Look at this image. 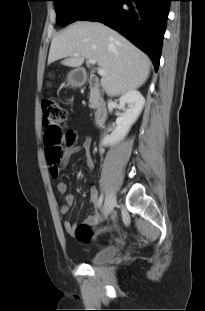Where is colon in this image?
<instances>
[{"mask_svg":"<svg viewBox=\"0 0 205 311\" xmlns=\"http://www.w3.org/2000/svg\"><path fill=\"white\" fill-rule=\"evenodd\" d=\"M66 120V110L59 102L54 99L42 101L45 155L50 168L57 169L65 156L64 147H72L76 143L77 133L72 129L65 128ZM95 233L94 228L87 223L78 225L73 231L74 237L84 243L90 242Z\"/></svg>","mask_w":205,"mask_h":311,"instance_id":"5ec220e1","label":"colon"}]
</instances>
